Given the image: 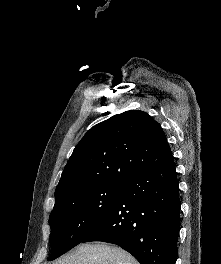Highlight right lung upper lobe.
I'll return each mask as SVG.
<instances>
[{
    "mask_svg": "<svg viewBox=\"0 0 221 264\" xmlns=\"http://www.w3.org/2000/svg\"><path fill=\"white\" fill-rule=\"evenodd\" d=\"M173 160L160 125L147 113L127 111L91 128L75 147L55 190V205L107 182L128 179Z\"/></svg>",
    "mask_w": 221,
    "mask_h": 264,
    "instance_id": "cb5924a9",
    "label": "right lung upper lobe"
}]
</instances>
